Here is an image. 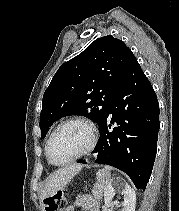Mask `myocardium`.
Instances as JSON below:
<instances>
[{
  "instance_id": "myocardium-1",
  "label": "myocardium",
  "mask_w": 179,
  "mask_h": 211,
  "mask_svg": "<svg viewBox=\"0 0 179 211\" xmlns=\"http://www.w3.org/2000/svg\"><path fill=\"white\" fill-rule=\"evenodd\" d=\"M71 123H80L82 125H84L88 131H89V142L87 144V146L81 151L79 152L77 155H75L73 158L69 159L68 161H65V162H62V163H57L55 162L51 155H50V145H51V142L54 138V136L56 135V133L65 125L67 124H71ZM97 141H98V132H97V128L95 126V124L87 119V118H84V117H79V116H75V117H70V118H67L65 120H63L62 122H60L55 128L54 130L52 131V133L50 134L47 142H46V145H45V155H46V158H47V161L53 165V166H57V167H62V166H66V165H69L79 159H81L82 157L88 155L89 153H91L96 144H97Z\"/></svg>"
}]
</instances>
